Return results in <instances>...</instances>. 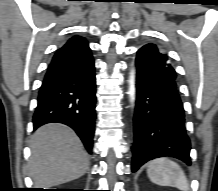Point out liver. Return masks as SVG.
<instances>
[{"mask_svg": "<svg viewBox=\"0 0 218 191\" xmlns=\"http://www.w3.org/2000/svg\"><path fill=\"white\" fill-rule=\"evenodd\" d=\"M30 176L36 188L53 187L84 175L89 167L83 144L69 127L47 124L31 139Z\"/></svg>", "mask_w": 218, "mask_h": 191, "instance_id": "liver-1", "label": "liver"}]
</instances>
